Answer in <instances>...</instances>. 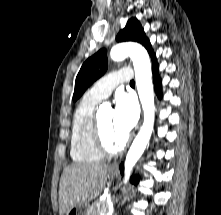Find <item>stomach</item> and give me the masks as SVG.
<instances>
[{"label": "stomach", "mask_w": 221, "mask_h": 215, "mask_svg": "<svg viewBox=\"0 0 221 215\" xmlns=\"http://www.w3.org/2000/svg\"><path fill=\"white\" fill-rule=\"evenodd\" d=\"M116 175H117L116 171L109 170V176L111 178L115 177ZM88 209H89L88 204L78 205V206L72 208L71 210H69L66 213V215H87Z\"/></svg>", "instance_id": "1"}]
</instances>
